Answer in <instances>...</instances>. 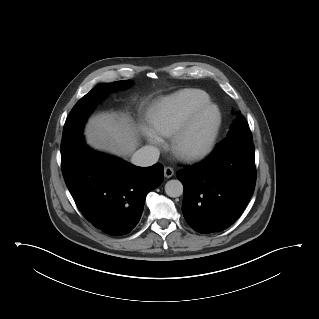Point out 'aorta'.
<instances>
[{"mask_svg":"<svg viewBox=\"0 0 319 319\" xmlns=\"http://www.w3.org/2000/svg\"><path fill=\"white\" fill-rule=\"evenodd\" d=\"M165 192L169 197H179L183 194V185L179 180H169L165 184Z\"/></svg>","mask_w":319,"mask_h":319,"instance_id":"762f6f07","label":"aorta"}]
</instances>
